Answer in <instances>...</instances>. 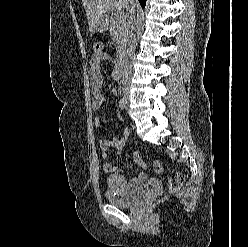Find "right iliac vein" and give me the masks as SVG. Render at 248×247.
I'll return each instance as SVG.
<instances>
[{"mask_svg": "<svg viewBox=\"0 0 248 247\" xmlns=\"http://www.w3.org/2000/svg\"><path fill=\"white\" fill-rule=\"evenodd\" d=\"M123 99H124L125 104H128L130 101V98L128 96H125Z\"/></svg>", "mask_w": 248, "mask_h": 247, "instance_id": "obj_1", "label": "right iliac vein"}]
</instances>
